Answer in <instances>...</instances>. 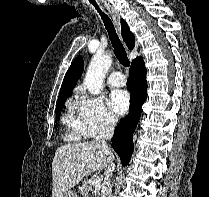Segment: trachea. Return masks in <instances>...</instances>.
I'll return each mask as SVG.
<instances>
[{
    "mask_svg": "<svg viewBox=\"0 0 209 197\" xmlns=\"http://www.w3.org/2000/svg\"><path fill=\"white\" fill-rule=\"evenodd\" d=\"M90 3L93 4V6L99 12V14L103 20L104 26L108 32V35H109L110 41L112 43V46L114 48V52H115L117 59L124 67H129L130 61L127 57L126 51L123 47V44L121 43V41L116 33V30L114 28V25H113L111 19L104 12L101 11L100 7L97 5V3L94 0H90Z\"/></svg>",
    "mask_w": 209,
    "mask_h": 197,
    "instance_id": "trachea-1",
    "label": "trachea"
}]
</instances>
